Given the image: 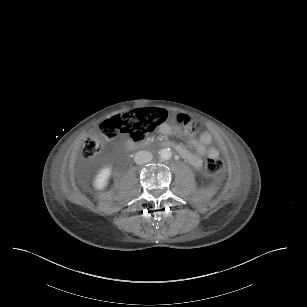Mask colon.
I'll return each mask as SVG.
<instances>
[{
  "instance_id": "1",
  "label": "colon",
  "mask_w": 307,
  "mask_h": 307,
  "mask_svg": "<svg viewBox=\"0 0 307 307\" xmlns=\"http://www.w3.org/2000/svg\"><path fill=\"white\" fill-rule=\"evenodd\" d=\"M167 113L163 109H137L128 113L117 115L102 123L99 134L87 138L82 146V156L86 160L94 158L100 151L105 139L116 136H126L134 141H140L155 130L166 118ZM177 123L183 130L194 135L199 130V123L185 113L176 115ZM224 168L223 160L219 157H210L206 163V171L209 175H217Z\"/></svg>"
}]
</instances>
